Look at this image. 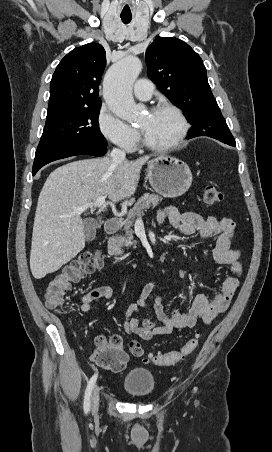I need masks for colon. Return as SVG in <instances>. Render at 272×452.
<instances>
[{
    "label": "colon",
    "instance_id": "obj_1",
    "mask_svg": "<svg viewBox=\"0 0 272 452\" xmlns=\"http://www.w3.org/2000/svg\"><path fill=\"white\" fill-rule=\"evenodd\" d=\"M202 199L206 206H215L223 201L222 192L214 184H208L202 192ZM102 257L98 253L84 254L79 259L70 263L58 276L47 286L45 291L46 306L60 313L66 308L63 296L71 284L78 282L85 275L101 268ZM97 349L93 359L97 365L106 370L118 371L124 368L127 354L122 350L117 339L110 341L100 339L96 342ZM199 345V336L191 338L182 348L176 351L157 353L149 356L146 361L156 366H168L178 363L190 356ZM129 350L134 356H142L144 349L139 342L133 341L129 344Z\"/></svg>",
    "mask_w": 272,
    "mask_h": 452
}]
</instances>
